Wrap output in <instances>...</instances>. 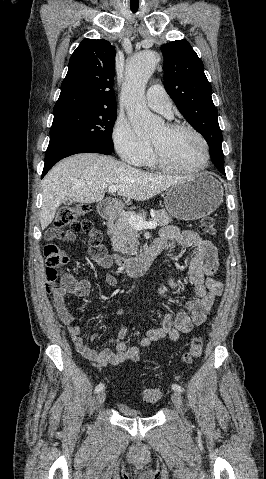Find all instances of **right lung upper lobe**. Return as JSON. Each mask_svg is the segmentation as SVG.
<instances>
[{"mask_svg":"<svg viewBox=\"0 0 266 479\" xmlns=\"http://www.w3.org/2000/svg\"><path fill=\"white\" fill-rule=\"evenodd\" d=\"M115 54L106 40L84 39L70 57L54 113L117 109L113 91Z\"/></svg>","mask_w":266,"mask_h":479,"instance_id":"1","label":"right lung upper lobe"}]
</instances>
